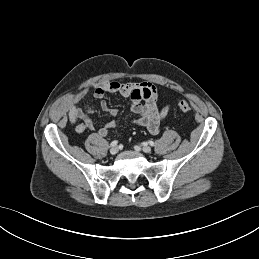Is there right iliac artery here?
Returning a JSON list of instances; mask_svg holds the SVG:
<instances>
[{"label": "right iliac artery", "mask_w": 259, "mask_h": 259, "mask_svg": "<svg viewBox=\"0 0 259 259\" xmlns=\"http://www.w3.org/2000/svg\"><path fill=\"white\" fill-rule=\"evenodd\" d=\"M117 143H118V141H117V140H114V141L111 142L110 146H111V147H114V146L117 145Z\"/></svg>", "instance_id": "82829eb1"}]
</instances>
